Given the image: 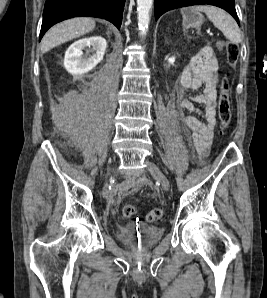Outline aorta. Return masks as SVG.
Segmentation results:
<instances>
[{
  "label": "aorta",
  "mask_w": 267,
  "mask_h": 298,
  "mask_svg": "<svg viewBox=\"0 0 267 298\" xmlns=\"http://www.w3.org/2000/svg\"><path fill=\"white\" fill-rule=\"evenodd\" d=\"M153 0H137V13H138V27L140 35L146 36L150 23V11L152 9Z\"/></svg>",
  "instance_id": "obj_1"
}]
</instances>
